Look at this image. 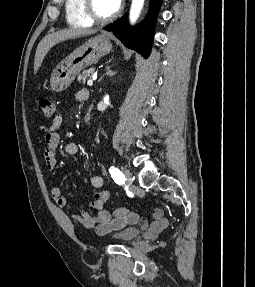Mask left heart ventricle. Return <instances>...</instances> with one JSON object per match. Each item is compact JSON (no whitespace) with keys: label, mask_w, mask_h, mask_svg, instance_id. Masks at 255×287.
I'll use <instances>...</instances> for the list:
<instances>
[{"label":"left heart ventricle","mask_w":255,"mask_h":287,"mask_svg":"<svg viewBox=\"0 0 255 287\" xmlns=\"http://www.w3.org/2000/svg\"><path fill=\"white\" fill-rule=\"evenodd\" d=\"M97 33H123V32H97ZM104 39V38H96ZM110 39H125V38H110ZM92 48H106V47H92ZM111 48H131V47H111Z\"/></svg>","instance_id":"left-heart-ventricle-1"}]
</instances>
